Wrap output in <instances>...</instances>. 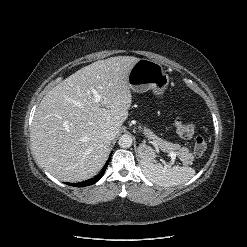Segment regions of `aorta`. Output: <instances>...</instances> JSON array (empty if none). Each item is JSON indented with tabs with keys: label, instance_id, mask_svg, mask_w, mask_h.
Segmentation results:
<instances>
[{
	"label": "aorta",
	"instance_id": "aorta-1",
	"mask_svg": "<svg viewBox=\"0 0 247 247\" xmlns=\"http://www.w3.org/2000/svg\"><path fill=\"white\" fill-rule=\"evenodd\" d=\"M132 143V137L127 134L122 135L118 140V144L121 148H129L132 146Z\"/></svg>",
	"mask_w": 247,
	"mask_h": 247
}]
</instances>
